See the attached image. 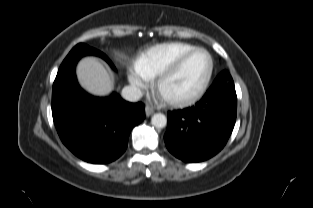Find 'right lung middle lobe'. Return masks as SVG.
<instances>
[{
  "instance_id": "dd1d6c3e",
  "label": "right lung middle lobe",
  "mask_w": 313,
  "mask_h": 208,
  "mask_svg": "<svg viewBox=\"0 0 313 208\" xmlns=\"http://www.w3.org/2000/svg\"><path fill=\"white\" fill-rule=\"evenodd\" d=\"M86 46L87 45H85V44H78L71 50V52L68 55L73 56V55L77 54L79 51L85 49Z\"/></svg>"
}]
</instances>
